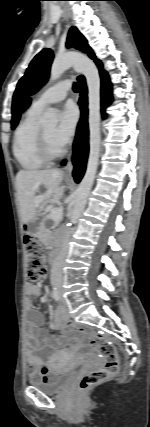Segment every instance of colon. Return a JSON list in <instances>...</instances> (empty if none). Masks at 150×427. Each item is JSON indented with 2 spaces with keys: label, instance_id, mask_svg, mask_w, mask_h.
<instances>
[{
  "label": "colon",
  "instance_id": "1",
  "mask_svg": "<svg viewBox=\"0 0 150 427\" xmlns=\"http://www.w3.org/2000/svg\"><path fill=\"white\" fill-rule=\"evenodd\" d=\"M24 246L27 255L26 278L31 284H36L45 276L43 251L38 240L29 234L24 236ZM77 332L86 337L90 346L103 360L97 370L86 374L80 380L78 387L81 392H84L115 376L119 370V358L110 340L100 335H91L81 327Z\"/></svg>",
  "mask_w": 150,
  "mask_h": 427
}]
</instances>
